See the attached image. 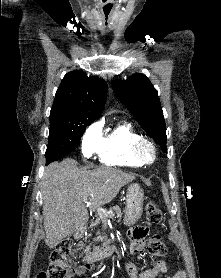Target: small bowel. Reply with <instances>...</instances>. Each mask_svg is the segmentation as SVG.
<instances>
[{
  "mask_svg": "<svg viewBox=\"0 0 221 278\" xmlns=\"http://www.w3.org/2000/svg\"><path fill=\"white\" fill-rule=\"evenodd\" d=\"M146 229L142 227H136L130 231L131 234V252L133 254H140L144 249V238L146 236ZM125 269L130 278H159L163 276L168 269V264L165 260H159L154 268L147 270H138V268L130 263H125ZM87 270L85 267L77 266L72 267L69 270L67 278H74L75 276L84 275ZM172 278H185L183 271H178Z\"/></svg>",
  "mask_w": 221,
  "mask_h": 278,
  "instance_id": "obj_1",
  "label": "small bowel"
}]
</instances>
